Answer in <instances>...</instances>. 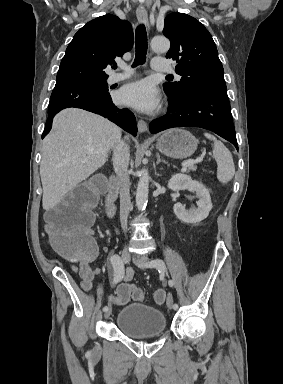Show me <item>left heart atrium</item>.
I'll use <instances>...</instances> for the list:
<instances>
[{
  "mask_svg": "<svg viewBox=\"0 0 283 384\" xmlns=\"http://www.w3.org/2000/svg\"><path fill=\"white\" fill-rule=\"evenodd\" d=\"M117 101L142 112H151L157 107L158 91L148 80H141L124 86L117 93Z\"/></svg>",
  "mask_w": 283,
  "mask_h": 384,
  "instance_id": "1",
  "label": "left heart atrium"
}]
</instances>
